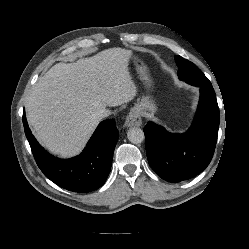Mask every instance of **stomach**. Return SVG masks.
I'll return each mask as SVG.
<instances>
[{
	"mask_svg": "<svg viewBox=\"0 0 249 249\" xmlns=\"http://www.w3.org/2000/svg\"><path fill=\"white\" fill-rule=\"evenodd\" d=\"M134 62L136 64L140 78L149 84L150 82L146 65L136 57H134ZM133 110L136 111L140 116L151 117L156 112V105L148 96H146L142 97L141 101L135 105Z\"/></svg>",
	"mask_w": 249,
	"mask_h": 249,
	"instance_id": "1",
	"label": "stomach"
}]
</instances>
